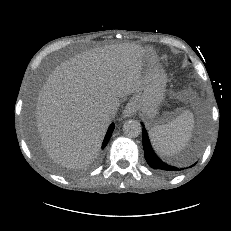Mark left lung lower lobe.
<instances>
[{
	"mask_svg": "<svg viewBox=\"0 0 231 231\" xmlns=\"http://www.w3.org/2000/svg\"><path fill=\"white\" fill-rule=\"evenodd\" d=\"M143 147H144V156L149 164V166L153 169L159 170L163 173L167 174H174L177 173L185 168L176 167L170 164H167L161 161L156 154L154 153L153 149L151 148L148 135L145 129H143ZM193 166V165H192ZM191 166V167H192Z\"/></svg>",
	"mask_w": 231,
	"mask_h": 231,
	"instance_id": "1",
	"label": "left lung lower lobe"
}]
</instances>
